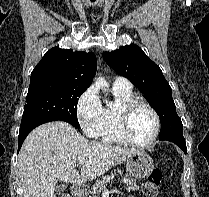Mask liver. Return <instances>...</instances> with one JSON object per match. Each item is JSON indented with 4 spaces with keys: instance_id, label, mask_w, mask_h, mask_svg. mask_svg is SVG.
I'll return each instance as SVG.
<instances>
[{
    "instance_id": "liver-1",
    "label": "liver",
    "mask_w": 209,
    "mask_h": 197,
    "mask_svg": "<svg viewBox=\"0 0 209 197\" xmlns=\"http://www.w3.org/2000/svg\"><path fill=\"white\" fill-rule=\"evenodd\" d=\"M138 151L89 141L66 122L42 124L27 136L18 156L23 197H56L58 180H93ZM80 159L85 163L79 173Z\"/></svg>"
}]
</instances>
